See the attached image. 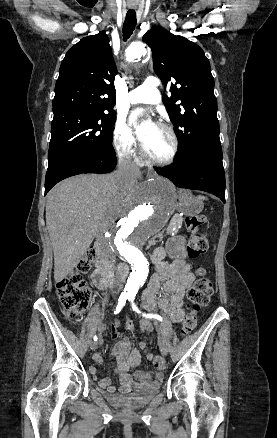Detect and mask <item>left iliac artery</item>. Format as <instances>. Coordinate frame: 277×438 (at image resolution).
<instances>
[{"mask_svg":"<svg viewBox=\"0 0 277 438\" xmlns=\"http://www.w3.org/2000/svg\"><path fill=\"white\" fill-rule=\"evenodd\" d=\"M134 298H135V295H130L128 297V300L130 301L133 310L139 313L140 311H139V309L136 307V305L134 303ZM143 316L147 317V318H155V319H157L159 321H163L162 317L160 315H158V314H145V313H143Z\"/></svg>","mask_w":277,"mask_h":438,"instance_id":"44dca946","label":"left iliac artery"}]
</instances>
